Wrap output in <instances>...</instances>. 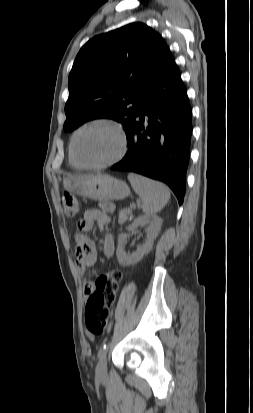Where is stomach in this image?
I'll return each mask as SVG.
<instances>
[{
  "label": "stomach",
  "mask_w": 253,
  "mask_h": 413,
  "mask_svg": "<svg viewBox=\"0 0 253 413\" xmlns=\"http://www.w3.org/2000/svg\"><path fill=\"white\" fill-rule=\"evenodd\" d=\"M63 184L72 194L98 201L121 200L130 195V189L124 181L106 174L71 176Z\"/></svg>",
  "instance_id": "obj_1"
}]
</instances>
